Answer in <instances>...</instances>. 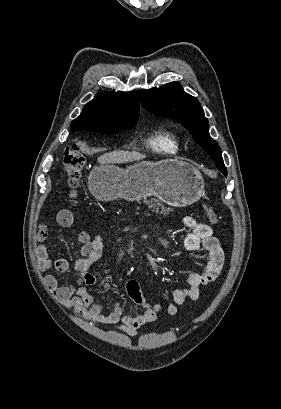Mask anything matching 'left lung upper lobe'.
<instances>
[{
	"instance_id": "1",
	"label": "left lung upper lobe",
	"mask_w": 281,
	"mask_h": 409,
	"mask_svg": "<svg viewBox=\"0 0 281 409\" xmlns=\"http://www.w3.org/2000/svg\"><path fill=\"white\" fill-rule=\"evenodd\" d=\"M139 94L146 110L157 116L175 119L189 129L195 141L210 154L217 168L227 175L219 146L209 135L208 120L195 97L185 93L178 82L143 89Z\"/></svg>"
}]
</instances>
